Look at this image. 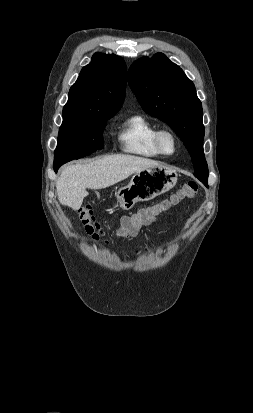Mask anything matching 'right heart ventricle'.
<instances>
[{"instance_id": "obj_1", "label": "right heart ventricle", "mask_w": 253, "mask_h": 413, "mask_svg": "<svg viewBox=\"0 0 253 413\" xmlns=\"http://www.w3.org/2000/svg\"><path fill=\"white\" fill-rule=\"evenodd\" d=\"M158 126L140 114L128 117L119 127L117 139L120 149L128 154L153 158L160 155L154 143Z\"/></svg>"}]
</instances>
